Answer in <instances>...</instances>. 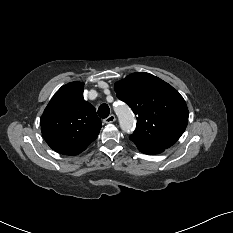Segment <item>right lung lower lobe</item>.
Here are the masks:
<instances>
[{
	"label": "right lung lower lobe",
	"instance_id": "obj_1",
	"mask_svg": "<svg viewBox=\"0 0 233 233\" xmlns=\"http://www.w3.org/2000/svg\"><path fill=\"white\" fill-rule=\"evenodd\" d=\"M80 152H82V151H78V152H64V153H61V154H65V155H77V154H79Z\"/></svg>",
	"mask_w": 233,
	"mask_h": 233
}]
</instances>
